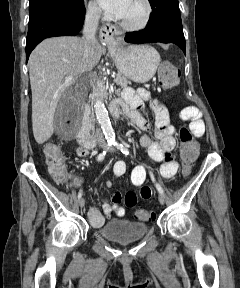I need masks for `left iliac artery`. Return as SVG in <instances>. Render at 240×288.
I'll return each instance as SVG.
<instances>
[{
  "label": "left iliac artery",
  "mask_w": 240,
  "mask_h": 288,
  "mask_svg": "<svg viewBox=\"0 0 240 288\" xmlns=\"http://www.w3.org/2000/svg\"><path fill=\"white\" fill-rule=\"evenodd\" d=\"M113 144H114V146H116L123 154L129 155V150H128V148H127L124 144H120V143H118V142H116V141H113ZM149 173H150L151 179H152V181L154 182L155 187L157 188L158 192L163 195L164 192H163L162 187L160 186V184L156 183L153 174H152L151 172H149Z\"/></svg>",
  "instance_id": "obj_1"
}]
</instances>
